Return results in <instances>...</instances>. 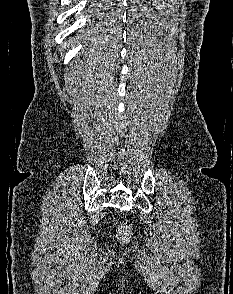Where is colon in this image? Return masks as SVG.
<instances>
[{"label": "colon", "mask_w": 233, "mask_h": 294, "mask_svg": "<svg viewBox=\"0 0 233 294\" xmlns=\"http://www.w3.org/2000/svg\"><path fill=\"white\" fill-rule=\"evenodd\" d=\"M119 238L126 240L130 234V229L126 224H121L118 229Z\"/></svg>", "instance_id": "5ec220e1"}]
</instances>
